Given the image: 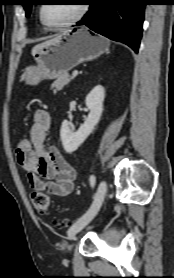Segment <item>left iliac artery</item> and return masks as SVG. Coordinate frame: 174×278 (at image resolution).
<instances>
[{
	"instance_id": "44dca946",
	"label": "left iliac artery",
	"mask_w": 174,
	"mask_h": 278,
	"mask_svg": "<svg viewBox=\"0 0 174 278\" xmlns=\"http://www.w3.org/2000/svg\"><path fill=\"white\" fill-rule=\"evenodd\" d=\"M89 181H90L91 187L93 188L95 186V183H96V177L94 175H91L90 178H89Z\"/></svg>"
}]
</instances>
